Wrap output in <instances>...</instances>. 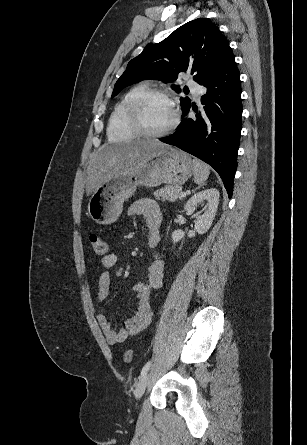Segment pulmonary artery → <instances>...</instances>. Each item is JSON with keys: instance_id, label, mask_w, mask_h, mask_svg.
I'll return each mask as SVG.
<instances>
[{"instance_id": "pulmonary-artery-1", "label": "pulmonary artery", "mask_w": 307, "mask_h": 445, "mask_svg": "<svg viewBox=\"0 0 307 445\" xmlns=\"http://www.w3.org/2000/svg\"><path fill=\"white\" fill-rule=\"evenodd\" d=\"M186 87L188 90H197L199 87V84L197 81H188L186 84ZM196 97H198V94H195Z\"/></svg>"}]
</instances>
